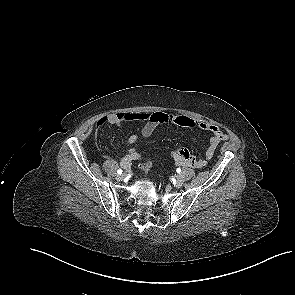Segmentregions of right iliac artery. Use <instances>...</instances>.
<instances>
[{
	"mask_svg": "<svg viewBox=\"0 0 295 295\" xmlns=\"http://www.w3.org/2000/svg\"><path fill=\"white\" fill-rule=\"evenodd\" d=\"M122 172H123L122 169L117 170V174H122Z\"/></svg>",
	"mask_w": 295,
	"mask_h": 295,
	"instance_id": "right-iliac-artery-1",
	"label": "right iliac artery"
}]
</instances>
